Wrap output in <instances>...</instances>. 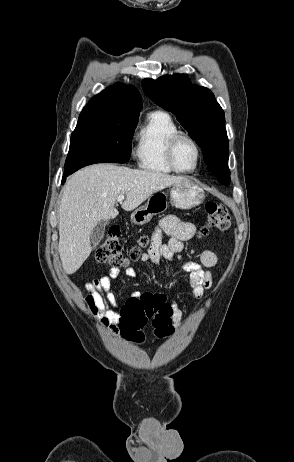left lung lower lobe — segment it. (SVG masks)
<instances>
[{
	"mask_svg": "<svg viewBox=\"0 0 294 462\" xmlns=\"http://www.w3.org/2000/svg\"><path fill=\"white\" fill-rule=\"evenodd\" d=\"M219 181L228 184L230 182V177H219Z\"/></svg>",
	"mask_w": 294,
	"mask_h": 462,
	"instance_id": "1",
	"label": "left lung lower lobe"
}]
</instances>
